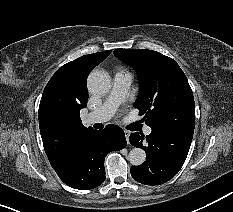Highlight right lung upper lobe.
<instances>
[{
	"label": "right lung upper lobe",
	"instance_id": "cb5924a9",
	"mask_svg": "<svg viewBox=\"0 0 233 212\" xmlns=\"http://www.w3.org/2000/svg\"><path fill=\"white\" fill-rule=\"evenodd\" d=\"M111 53L85 55L60 67L47 83L39 105V127L52 167L63 162L91 130L80 119L88 100L86 87L90 71Z\"/></svg>",
	"mask_w": 233,
	"mask_h": 212
}]
</instances>
